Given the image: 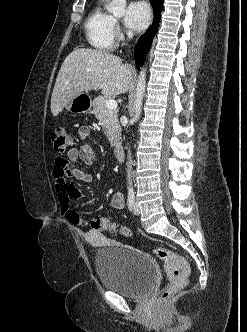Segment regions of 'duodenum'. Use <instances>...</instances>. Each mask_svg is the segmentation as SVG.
<instances>
[{"mask_svg":"<svg viewBox=\"0 0 247 332\" xmlns=\"http://www.w3.org/2000/svg\"><path fill=\"white\" fill-rule=\"evenodd\" d=\"M114 154L119 161H122L124 159V150L121 146L115 147Z\"/></svg>","mask_w":247,"mask_h":332,"instance_id":"duodenum-1","label":"duodenum"}]
</instances>
